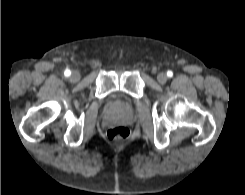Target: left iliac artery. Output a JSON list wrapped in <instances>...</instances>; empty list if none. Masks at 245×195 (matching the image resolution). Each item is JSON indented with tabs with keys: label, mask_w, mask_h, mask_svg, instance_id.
<instances>
[{
	"label": "left iliac artery",
	"mask_w": 245,
	"mask_h": 195,
	"mask_svg": "<svg viewBox=\"0 0 245 195\" xmlns=\"http://www.w3.org/2000/svg\"><path fill=\"white\" fill-rule=\"evenodd\" d=\"M167 76H168V77H172V76H173V72H172V71H168V72H167Z\"/></svg>",
	"instance_id": "44dca946"
}]
</instances>
